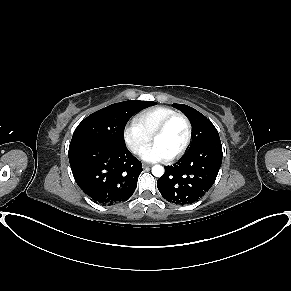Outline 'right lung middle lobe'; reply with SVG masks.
<instances>
[{
  "mask_svg": "<svg viewBox=\"0 0 291 291\" xmlns=\"http://www.w3.org/2000/svg\"><path fill=\"white\" fill-rule=\"evenodd\" d=\"M156 102L130 100L110 105L86 117L75 129L70 147L78 144H98L126 147L124 128L139 110Z\"/></svg>",
  "mask_w": 291,
  "mask_h": 291,
  "instance_id": "right-lung-middle-lobe-1",
  "label": "right lung middle lobe"
}]
</instances>
